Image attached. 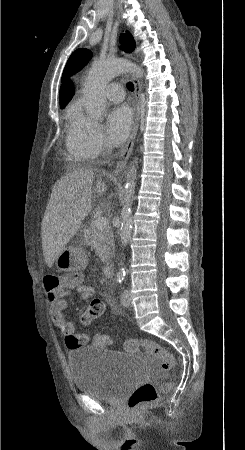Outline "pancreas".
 Here are the masks:
<instances>
[{"label": "pancreas", "mask_w": 245, "mask_h": 450, "mask_svg": "<svg viewBox=\"0 0 245 450\" xmlns=\"http://www.w3.org/2000/svg\"><path fill=\"white\" fill-rule=\"evenodd\" d=\"M85 243L95 249L102 262H108L113 249V233L109 227L99 230L95 228L94 222H91L84 229Z\"/></svg>", "instance_id": "obj_1"}]
</instances>
